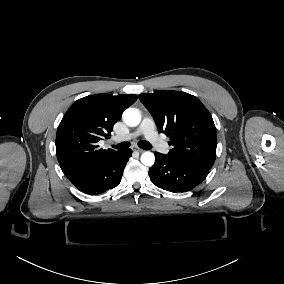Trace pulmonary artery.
<instances>
[{
    "mask_svg": "<svg viewBox=\"0 0 284 284\" xmlns=\"http://www.w3.org/2000/svg\"><path fill=\"white\" fill-rule=\"evenodd\" d=\"M156 124L152 120L144 119L141 126L137 129L135 133H132L126 137L119 138L115 137L114 140H123L136 137L138 135H144L148 143L155 147L158 151L165 153L169 150L170 144L167 140L162 138L156 132Z\"/></svg>",
    "mask_w": 284,
    "mask_h": 284,
    "instance_id": "1",
    "label": "pulmonary artery"
}]
</instances>
